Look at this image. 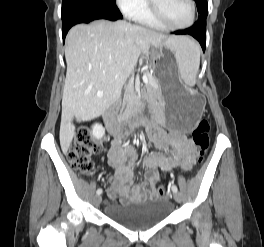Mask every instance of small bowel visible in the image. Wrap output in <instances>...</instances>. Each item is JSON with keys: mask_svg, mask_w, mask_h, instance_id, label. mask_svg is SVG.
<instances>
[{"mask_svg": "<svg viewBox=\"0 0 264 247\" xmlns=\"http://www.w3.org/2000/svg\"><path fill=\"white\" fill-rule=\"evenodd\" d=\"M165 119L161 113H156V120L148 123L147 131L152 145L157 150L169 149L171 154H151L144 161L146 168L144 183L133 185L134 164L136 154L130 147H122L119 139L115 140L108 154V162L115 170L110 182L116 186L118 192L124 196V200L152 199L155 196V186L158 182L157 170L169 171L180 167L184 171H190L196 158V148L193 141L184 134L163 128Z\"/></svg>", "mask_w": 264, "mask_h": 247, "instance_id": "1", "label": "small bowel"}]
</instances>
